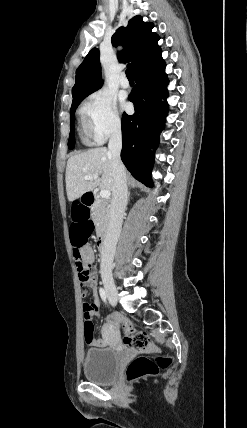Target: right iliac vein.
I'll use <instances>...</instances> for the list:
<instances>
[{"label":"right iliac vein","mask_w":247,"mask_h":428,"mask_svg":"<svg viewBox=\"0 0 247 428\" xmlns=\"http://www.w3.org/2000/svg\"><path fill=\"white\" fill-rule=\"evenodd\" d=\"M102 280H103L107 297L110 303L113 306H115L117 304L118 296H117V289L112 279V276L109 273L104 272L102 274Z\"/></svg>","instance_id":"right-iliac-vein-1"}]
</instances>
